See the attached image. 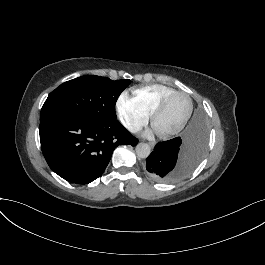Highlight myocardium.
I'll return each instance as SVG.
<instances>
[{"mask_svg":"<svg viewBox=\"0 0 265 265\" xmlns=\"http://www.w3.org/2000/svg\"><path fill=\"white\" fill-rule=\"evenodd\" d=\"M175 95H182V96L185 97L186 102H187L185 113H184L182 119L180 120V122L175 127L171 128L169 130H166V131H158L156 129L157 116H158L160 110L162 109V107L165 105V103L171 97H173ZM192 110H193L192 101L187 95H185V93L180 92V91H172V92L166 94L165 96H163L161 99H159L158 102L155 104V107H154V109L152 111V120H151V122H152L153 127L157 130V132H158V134L160 136L168 137V136H171V135L179 132L182 128H184V126L187 124V122L190 119Z\"/></svg>","mask_w":265,"mask_h":265,"instance_id":"f54148a6","label":"myocardium"}]
</instances>
